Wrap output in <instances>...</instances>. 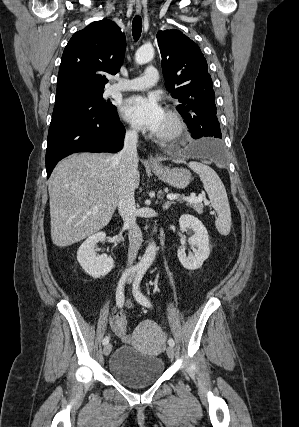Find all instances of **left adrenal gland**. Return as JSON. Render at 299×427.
Masks as SVG:
<instances>
[{"label":"left adrenal gland","instance_id":"left-adrenal-gland-1","mask_svg":"<svg viewBox=\"0 0 299 427\" xmlns=\"http://www.w3.org/2000/svg\"><path fill=\"white\" fill-rule=\"evenodd\" d=\"M171 204H173V202H169V201L165 202V203L163 204V209H164V210H167V209L170 207V205H171Z\"/></svg>","mask_w":299,"mask_h":427}]
</instances>
